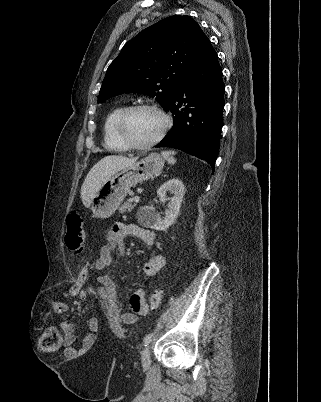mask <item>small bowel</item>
<instances>
[{"label":"small bowel","instance_id":"obj_1","mask_svg":"<svg viewBox=\"0 0 321 402\" xmlns=\"http://www.w3.org/2000/svg\"><path fill=\"white\" fill-rule=\"evenodd\" d=\"M126 237H136L141 239L146 245H153L156 240L155 233L149 229L143 228L135 223H117L106 236L105 245L99 249L98 256L93 262V269L97 272L104 271L111 267L117 256L124 255ZM166 263V258L162 254H156L147 258L142 265V273L146 278L154 277ZM98 281L107 292L108 296L116 303H119L118 293L110 274H101ZM140 300L145 301V291L137 290L132 294L129 304ZM49 309L56 314H65L69 306L63 302H51ZM122 320L125 324L131 325L137 321V312L125 311L122 307ZM144 314V313H143ZM61 329L64 333L65 355L68 358H83L84 353H88L89 347H94L97 341L99 329L96 321L90 322V327L84 333L83 344H77L75 347L76 333L75 325L70 322H61Z\"/></svg>","mask_w":321,"mask_h":402}]
</instances>
